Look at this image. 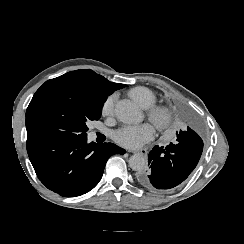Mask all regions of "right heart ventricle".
<instances>
[{"mask_svg":"<svg viewBox=\"0 0 244 244\" xmlns=\"http://www.w3.org/2000/svg\"><path fill=\"white\" fill-rule=\"evenodd\" d=\"M127 95L142 109H149L156 103L154 93L146 87H135L127 91Z\"/></svg>","mask_w":244,"mask_h":244,"instance_id":"1","label":"right heart ventricle"}]
</instances>
